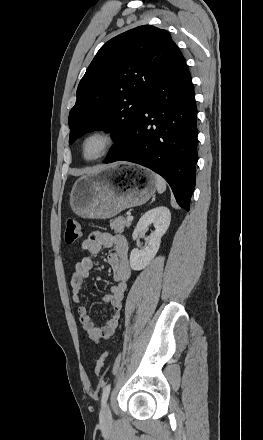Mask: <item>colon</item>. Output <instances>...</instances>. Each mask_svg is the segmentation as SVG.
<instances>
[{
    "mask_svg": "<svg viewBox=\"0 0 263 440\" xmlns=\"http://www.w3.org/2000/svg\"><path fill=\"white\" fill-rule=\"evenodd\" d=\"M81 236V226L78 220L68 219L65 223V241L67 244L75 243ZM107 353L104 352L97 359L95 364V373L99 374L104 367Z\"/></svg>",
    "mask_w": 263,
    "mask_h": 440,
    "instance_id": "5ec220e1",
    "label": "colon"
}]
</instances>
